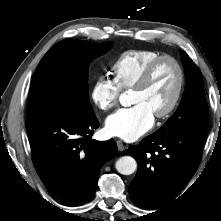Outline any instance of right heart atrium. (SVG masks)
Listing matches in <instances>:
<instances>
[{
	"instance_id": "right-heart-atrium-1",
	"label": "right heart atrium",
	"mask_w": 221,
	"mask_h": 221,
	"mask_svg": "<svg viewBox=\"0 0 221 221\" xmlns=\"http://www.w3.org/2000/svg\"><path fill=\"white\" fill-rule=\"evenodd\" d=\"M120 91L113 80L101 76L91 87L90 99L100 111L107 112L117 106Z\"/></svg>"
}]
</instances>
